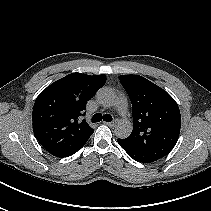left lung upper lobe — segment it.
Returning <instances> with one entry per match:
<instances>
[{"instance_id": "1", "label": "left lung upper lobe", "mask_w": 211, "mask_h": 211, "mask_svg": "<svg viewBox=\"0 0 211 211\" xmlns=\"http://www.w3.org/2000/svg\"><path fill=\"white\" fill-rule=\"evenodd\" d=\"M133 115V131L123 139L127 148L160 159L177 143L181 116L176 101L162 88L139 75H122Z\"/></svg>"}]
</instances>
